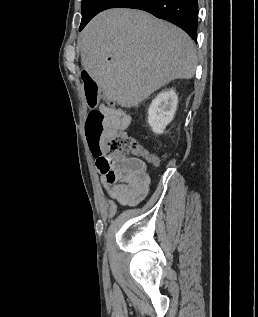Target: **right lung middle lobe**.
Instances as JSON below:
<instances>
[{"label":"right lung middle lobe","mask_w":258,"mask_h":317,"mask_svg":"<svg viewBox=\"0 0 258 317\" xmlns=\"http://www.w3.org/2000/svg\"><path fill=\"white\" fill-rule=\"evenodd\" d=\"M87 1H88V0H82L81 6L83 7V5H84Z\"/></svg>","instance_id":"obj_1"}]
</instances>
